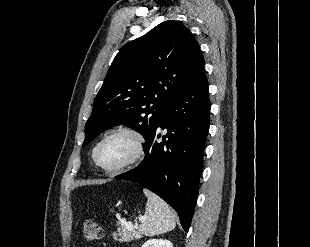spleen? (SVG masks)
I'll use <instances>...</instances> for the list:
<instances>
[{
  "instance_id": "spleen-1",
  "label": "spleen",
  "mask_w": 310,
  "mask_h": 247,
  "mask_svg": "<svg viewBox=\"0 0 310 247\" xmlns=\"http://www.w3.org/2000/svg\"><path fill=\"white\" fill-rule=\"evenodd\" d=\"M147 197L145 216L139 231L145 236H155L173 230L176 226L175 214L170 206L153 192L143 189Z\"/></svg>"
}]
</instances>
